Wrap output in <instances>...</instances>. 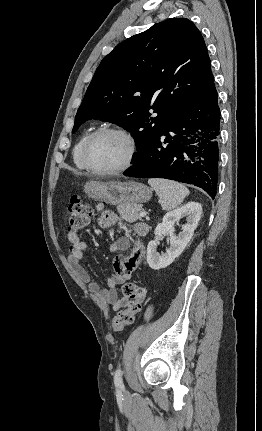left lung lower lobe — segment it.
<instances>
[{
    "label": "left lung lower lobe",
    "instance_id": "1",
    "mask_svg": "<svg viewBox=\"0 0 262 431\" xmlns=\"http://www.w3.org/2000/svg\"><path fill=\"white\" fill-rule=\"evenodd\" d=\"M219 135L220 109L213 82L173 118L152 146L123 174L192 184L215 196Z\"/></svg>",
    "mask_w": 262,
    "mask_h": 431
}]
</instances>
